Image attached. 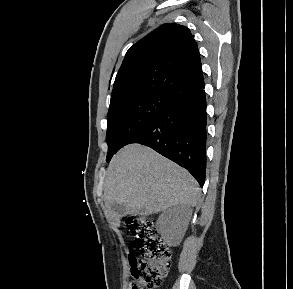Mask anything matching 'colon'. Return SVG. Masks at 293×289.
I'll list each match as a JSON object with an SVG mask.
<instances>
[{
  "instance_id": "1",
  "label": "colon",
  "mask_w": 293,
  "mask_h": 289,
  "mask_svg": "<svg viewBox=\"0 0 293 289\" xmlns=\"http://www.w3.org/2000/svg\"><path fill=\"white\" fill-rule=\"evenodd\" d=\"M126 229L142 258L130 257L134 281L131 289H158L171 264L172 254L149 218H128Z\"/></svg>"
}]
</instances>
